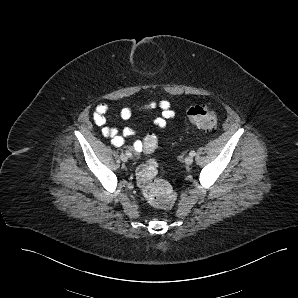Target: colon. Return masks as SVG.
<instances>
[{"label": "colon", "instance_id": "5ec220e1", "mask_svg": "<svg viewBox=\"0 0 298 298\" xmlns=\"http://www.w3.org/2000/svg\"><path fill=\"white\" fill-rule=\"evenodd\" d=\"M190 121L199 128L214 130L217 126V115L207 105H195L189 108ZM158 145L157 136L147 133L142 142V152L151 153ZM158 164L154 159H149L136 169V180L145 199L153 206L169 209L176 200V193L172 186L164 179L157 177Z\"/></svg>", "mask_w": 298, "mask_h": 298}]
</instances>
